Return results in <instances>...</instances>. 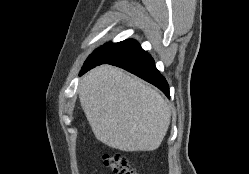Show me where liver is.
<instances>
[{
    "instance_id": "obj_1",
    "label": "liver",
    "mask_w": 249,
    "mask_h": 174,
    "mask_svg": "<svg viewBox=\"0 0 249 174\" xmlns=\"http://www.w3.org/2000/svg\"><path fill=\"white\" fill-rule=\"evenodd\" d=\"M79 100L95 137L121 151L157 149L170 125V108L162 96L110 65L84 75Z\"/></svg>"
}]
</instances>
